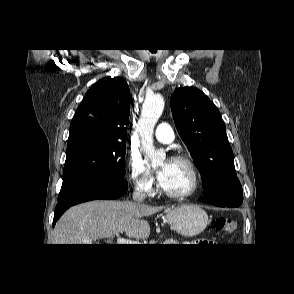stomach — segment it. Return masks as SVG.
Listing matches in <instances>:
<instances>
[{"label": "stomach", "mask_w": 294, "mask_h": 294, "mask_svg": "<svg viewBox=\"0 0 294 294\" xmlns=\"http://www.w3.org/2000/svg\"><path fill=\"white\" fill-rule=\"evenodd\" d=\"M171 226L182 236L193 237L200 234L208 225L207 213L198 205H180L166 210Z\"/></svg>", "instance_id": "obj_1"}]
</instances>
